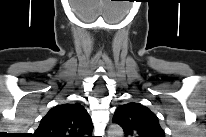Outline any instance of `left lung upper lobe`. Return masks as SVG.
I'll use <instances>...</instances> for the list:
<instances>
[{"label":"left lung upper lobe","instance_id":"obj_1","mask_svg":"<svg viewBox=\"0 0 206 137\" xmlns=\"http://www.w3.org/2000/svg\"><path fill=\"white\" fill-rule=\"evenodd\" d=\"M128 137H165L156 115L147 107L138 103L121 105L114 114Z\"/></svg>","mask_w":206,"mask_h":137}]
</instances>
